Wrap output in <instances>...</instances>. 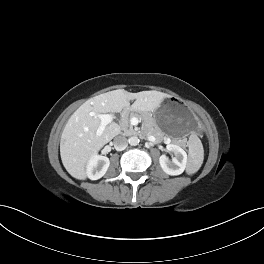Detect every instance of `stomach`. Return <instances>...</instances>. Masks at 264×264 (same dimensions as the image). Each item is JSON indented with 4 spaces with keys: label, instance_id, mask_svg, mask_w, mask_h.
<instances>
[{
    "label": "stomach",
    "instance_id": "stomach-1",
    "mask_svg": "<svg viewBox=\"0 0 264 264\" xmlns=\"http://www.w3.org/2000/svg\"><path fill=\"white\" fill-rule=\"evenodd\" d=\"M156 126L168 135L182 136L190 132L194 136H201L205 132V125L193 117L180 98L168 97L164 105L153 114Z\"/></svg>",
    "mask_w": 264,
    "mask_h": 264
}]
</instances>
